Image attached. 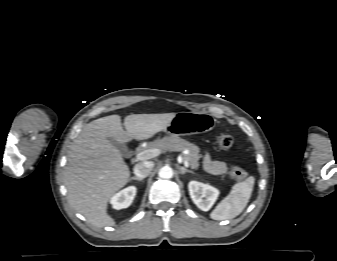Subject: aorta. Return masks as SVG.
I'll use <instances>...</instances> for the list:
<instances>
[{"label":"aorta","instance_id":"aorta-1","mask_svg":"<svg viewBox=\"0 0 337 261\" xmlns=\"http://www.w3.org/2000/svg\"><path fill=\"white\" fill-rule=\"evenodd\" d=\"M158 175L160 178L169 179L173 176V170L169 166H164L159 170Z\"/></svg>","mask_w":337,"mask_h":261}]
</instances>
